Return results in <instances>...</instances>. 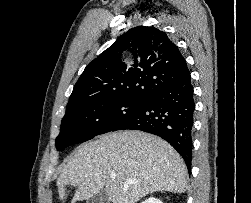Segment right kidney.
<instances>
[{
	"label": "right kidney",
	"mask_w": 251,
	"mask_h": 203,
	"mask_svg": "<svg viewBox=\"0 0 251 203\" xmlns=\"http://www.w3.org/2000/svg\"><path fill=\"white\" fill-rule=\"evenodd\" d=\"M141 203H163V202L158 198L150 197V198L142 201Z\"/></svg>",
	"instance_id": "right-kidney-1"
}]
</instances>
